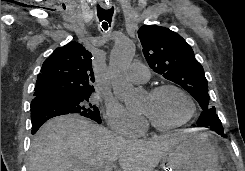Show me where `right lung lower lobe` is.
Segmentation results:
<instances>
[{
    "instance_id": "obj_1",
    "label": "right lung lower lobe",
    "mask_w": 245,
    "mask_h": 171,
    "mask_svg": "<svg viewBox=\"0 0 245 171\" xmlns=\"http://www.w3.org/2000/svg\"><path fill=\"white\" fill-rule=\"evenodd\" d=\"M70 114V112L58 103L50 100L32 101L31 103V120H32V134H35L40 126L48 119Z\"/></svg>"
}]
</instances>
